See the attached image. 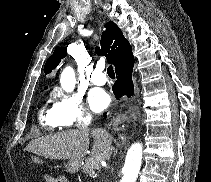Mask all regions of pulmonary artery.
I'll use <instances>...</instances> for the list:
<instances>
[{
  "label": "pulmonary artery",
  "mask_w": 211,
  "mask_h": 182,
  "mask_svg": "<svg viewBox=\"0 0 211 182\" xmlns=\"http://www.w3.org/2000/svg\"><path fill=\"white\" fill-rule=\"evenodd\" d=\"M91 81L95 85H104L106 83V74L102 65H98L93 71Z\"/></svg>",
  "instance_id": "pulmonary-artery-1"
}]
</instances>
